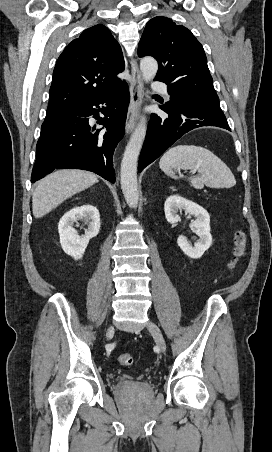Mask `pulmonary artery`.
Returning <instances> with one entry per match:
<instances>
[{
    "mask_svg": "<svg viewBox=\"0 0 272 452\" xmlns=\"http://www.w3.org/2000/svg\"><path fill=\"white\" fill-rule=\"evenodd\" d=\"M152 90L167 93L166 84L162 81H155L152 83Z\"/></svg>",
    "mask_w": 272,
    "mask_h": 452,
    "instance_id": "1",
    "label": "pulmonary artery"
}]
</instances>
